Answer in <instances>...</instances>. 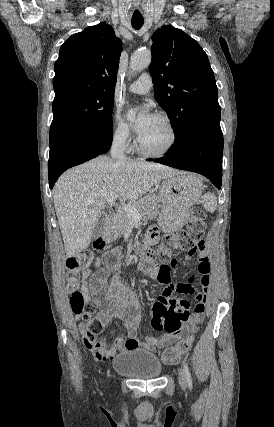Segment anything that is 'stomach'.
<instances>
[{"instance_id":"0dacf381","label":"stomach","mask_w":274,"mask_h":427,"mask_svg":"<svg viewBox=\"0 0 274 427\" xmlns=\"http://www.w3.org/2000/svg\"><path fill=\"white\" fill-rule=\"evenodd\" d=\"M196 180L200 178L186 172H176L163 178L159 188V202H162V206L157 219L163 231L172 233L184 225L188 210L200 196V190L194 186ZM193 194H197L195 200H192Z\"/></svg>"}]
</instances>
